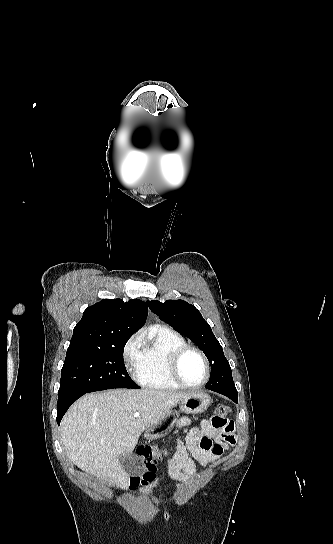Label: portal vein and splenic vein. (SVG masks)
I'll return each mask as SVG.
<instances>
[{
    "mask_svg": "<svg viewBox=\"0 0 333 544\" xmlns=\"http://www.w3.org/2000/svg\"><path fill=\"white\" fill-rule=\"evenodd\" d=\"M139 416H140V413H138V412H136V413L133 414V417H134V418H138Z\"/></svg>",
    "mask_w": 333,
    "mask_h": 544,
    "instance_id": "portal-vein-and-splenic-vein-1",
    "label": "portal vein and splenic vein"
}]
</instances>
